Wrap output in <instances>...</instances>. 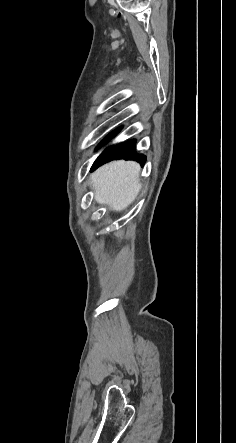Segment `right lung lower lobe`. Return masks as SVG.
Instances as JSON below:
<instances>
[{
  "instance_id": "right-lung-lower-lobe-1",
  "label": "right lung lower lobe",
  "mask_w": 236,
  "mask_h": 443,
  "mask_svg": "<svg viewBox=\"0 0 236 443\" xmlns=\"http://www.w3.org/2000/svg\"><path fill=\"white\" fill-rule=\"evenodd\" d=\"M121 128L116 129L115 131L111 132L100 144L96 149H99L101 146H103L105 143L110 141L119 131ZM135 143L136 140H130L125 143H121L116 146L108 147L95 161L93 164V167L91 169L94 170L98 166L111 161L113 159H126V160H136L141 163V165H144L146 161V156L142 154H137L135 151Z\"/></svg>"
}]
</instances>
